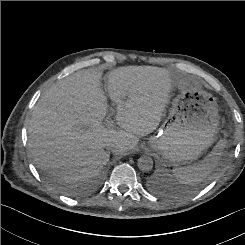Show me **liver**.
<instances>
[{
    "label": "liver",
    "instance_id": "liver-1",
    "mask_svg": "<svg viewBox=\"0 0 245 245\" xmlns=\"http://www.w3.org/2000/svg\"><path fill=\"white\" fill-rule=\"evenodd\" d=\"M101 77L99 71L81 70L58 81L41 95L29 121L34 163L66 182L98 175L110 158L105 144L121 155L156 130L172 88L171 74L164 68L125 66L111 71L108 93L121 128L116 130L102 125L108 105Z\"/></svg>",
    "mask_w": 245,
    "mask_h": 245
}]
</instances>
